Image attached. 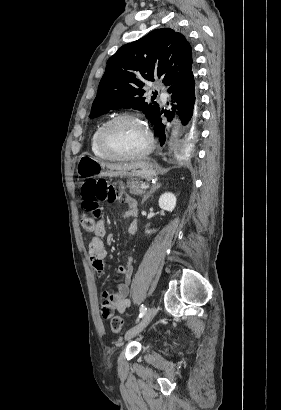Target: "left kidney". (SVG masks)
<instances>
[{
    "label": "left kidney",
    "mask_w": 281,
    "mask_h": 410,
    "mask_svg": "<svg viewBox=\"0 0 281 410\" xmlns=\"http://www.w3.org/2000/svg\"><path fill=\"white\" fill-rule=\"evenodd\" d=\"M158 203L161 209L172 212L176 206V196L173 193H164L160 196ZM151 232V230L146 231V233Z\"/></svg>",
    "instance_id": "1"
}]
</instances>
